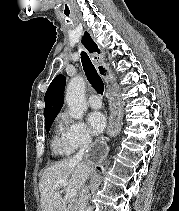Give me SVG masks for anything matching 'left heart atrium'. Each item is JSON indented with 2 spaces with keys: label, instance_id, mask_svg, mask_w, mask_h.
Segmentation results:
<instances>
[{
  "label": "left heart atrium",
  "instance_id": "obj_1",
  "mask_svg": "<svg viewBox=\"0 0 179 211\" xmlns=\"http://www.w3.org/2000/svg\"><path fill=\"white\" fill-rule=\"evenodd\" d=\"M88 123L93 134L97 135L103 132L106 126V119L100 112H92L88 115Z\"/></svg>",
  "mask_w": 179,
  "mask_h": 211
}]
</instances>
